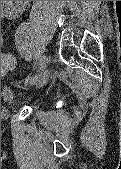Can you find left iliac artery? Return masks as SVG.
Masks as SVG:
<instances>
[{
  "label": "left iliac artery",
  "instance_id": "left-iliac-artery-1",
  "mask_svg": "<svg viewBox=\"0 0 121 169\" xmlns=\"http://www.w3.org/2000/svg\"><path fill=\"white\" fill-rule=\"evenodd\" d=\"M27 30L26 26H19L18 30H16V42H15V51L18 52V54H22V58H26L27 60L29 59L27 57V51H26V46H25V42H23L24 40V35H25V31ZM39 68L40 69H35V75L33 76H28L25 78L24 82L25 83H30L31 81H34L38 75L37 74H42V70H44L45 66L39 62Z\"/></svg>",
  "mask_w": 121,
  "mask_h": 169
}]
</instances>
